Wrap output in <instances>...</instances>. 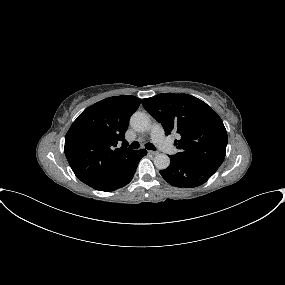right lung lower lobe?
Instances as JSON below:
<instances>
[{"label":"right lung lower lobe","instance_id":"1","mask_svg":"<svg viewBox=\"0 0 285 285\" xmlns=\"http://www.w3.org/2000/svg\"><path fill=\"white\" fill-rule=\"evenodd\" d=\"M146 153H147L146 150L136 151L133 162L128 166V168L123 173L111 179L96 183L92 185L91 187L96 190L105 191V192L114 191V190L124 187L132 180L140 159L144 155H146Z\"/></svg>","mask_w":285,"mask_h":285}]
</instances>
